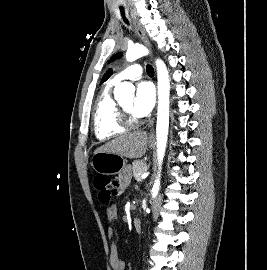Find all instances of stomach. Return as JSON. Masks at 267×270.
<instances>
[{
	"mask_svg": "<svg viewBox=\"0 0 267 270\" xmlns=\"http://www.w3.org/2000/svg\"><path fill=\"white\" fill-rule=\"evenodd\" d=\"M91 165L98 173L112 175L126 166V160L115 153L98 152L93 155Z\"/></svg>",
	"mask_w": 267,
	"mask_h": 270,
	"instance_id": "stomach-1",
	"label": "stomach"
}]
</instances>
